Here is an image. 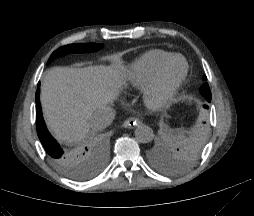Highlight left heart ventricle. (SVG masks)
I'll use <instances>...</instances> for the list:
<instances>
[{
  "instance_id": "left-heart-ventricle-1",
  "label": "left heart ventricle",
  "mask_w": 254,
  "mask_h": 216,
  "mask_svg": "<svg viewBox=\"0 0 254 216\" xmlns=\"http://www.w3.org/2000/svg\"><path fill=\"white\" fill-rule=\"evenodd\" d=\"M183 70V62L175 60L172 62L164 72L162 84L164 87L172 84L181 74Z\"/></svg>"
}]
</instances>
